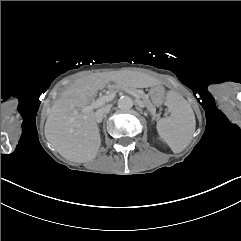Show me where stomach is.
<instances>
[{
  "label": "stomach",
  "instance_id": "0dacf381",
  "mask_svg": "<svg viewBox=\"0 0 241 241\" xmlns=\"http://www.w3.org/2000/svg\"><path fill=\"white\" fill-rule=\"evenodd\" d=\"M149 96L154 105L160 106L164 102L165 90L162 86H155L149 90Z\"/></svg>",
  "mask_w": 241,
  "mask_h": 241
}]
</instances>
